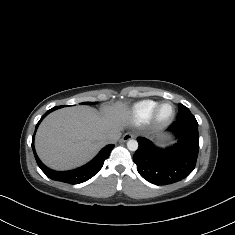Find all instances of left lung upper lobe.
<instances>
[{"mask_svg": "<svg viewBox=\"0 0 235 235\" xmlns=\"http://www.w3.org/2000/svg\"><path fill=\"white\" fill-rule=\"evenodd\" d=\"M176 121H193V122H197L195 117L193 116V114L190 112V110L182 104H179V111H178Z\"/></svg>", "mask_w": 235, "mask_h": 235, "instance_id": "5c2ea615", "label": "left lung upper lobe"}]
</instances>
